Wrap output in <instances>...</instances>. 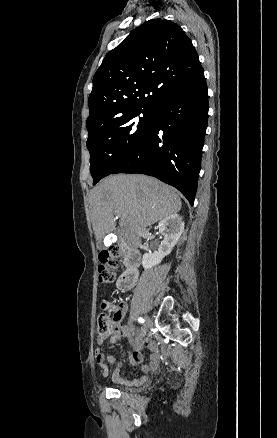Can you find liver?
<instances>
[{
	"mask_svg": "<svg viewBox=\"0 0 277 438\" xmlns=\"http://www.w3.org/2000/svg\"><path fill=\"white\" fill-rule=\"evenodd\" d=\"M174 188L143 174L108 176L90 192L91 222L95 240L115 230L114 216L129 232H141L181 210Z\"/></svg>",
	"mask_w": 277,
	"mask_h": 438,
	"instance_id": "1",
	"label": "liver"
}]
</instances>
